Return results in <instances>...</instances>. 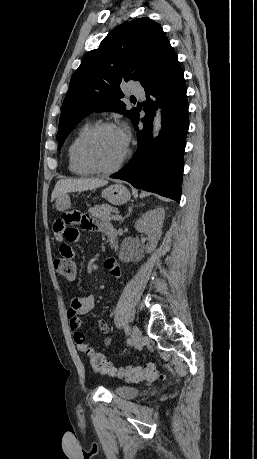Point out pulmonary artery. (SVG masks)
Instances as JSON below:
<instances>
[{"mask_svg": "<svg viewBox=\"0 0 257 459\" xmlns=\"http://www.w3.org/2000/svg\"><path fill=\"white\" fill-rule=\"evenodd\" d=\"M132 93L135 94L138 97H143L144 96V91L142 88H132Z\"/></svg>", "mask_w": 257, "mask_h": 459, "instance_id": "1", "label": "pulmonary artery"}]
</instances>
